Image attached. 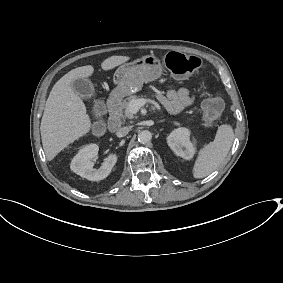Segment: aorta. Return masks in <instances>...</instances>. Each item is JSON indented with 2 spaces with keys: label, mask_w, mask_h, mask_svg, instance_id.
<instances>
[{
  "label": "aorta",
  "mask_w": 283,
  "mask_h": 283,
  "mask_svg": "<svg viewBox=\"0 0 283 283\" xmlns=\"http://www.w3.org/2000/svg\"><path fill=\"white\" fill-rule=\"evenodd\" d=\"M152 138V134L148 130H142L138 133V141L145 144L148 143Z\"/></svg>",
  "instance_id": "1"
}]
</instances>
